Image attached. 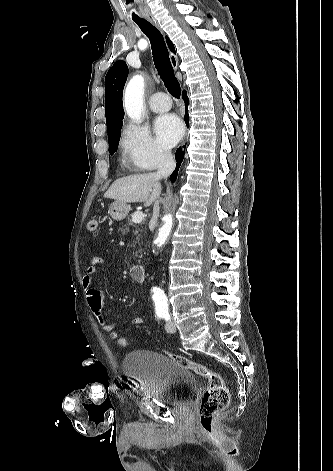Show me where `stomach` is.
Segmentation results:
<instances>
[{"mask_svg": "<svg viewBox=\"0 0 333 471\" xmlns=\"http://www.w3.org/2000/svg\"><path fill=\"white\" fill-rule=\"evenodd\" d=\"M130 210V206L127 203H122L119 201H114L110 208L109 214L114 220H122L124 219Z\"/></svg>", "mask_w": 333, "mask_h": 471, "instance_id": "1", "label": "stomach"}]
</instances>
